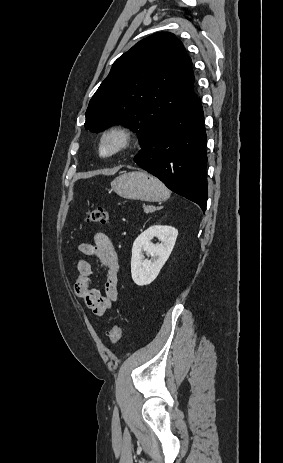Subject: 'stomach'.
<instances>
[{"label":"stomach","instance_id":"stomach-1","mask_svg":"<svg viewBox=\"0 0 283 463\" xmlns=\"http://www.w3.org/2000/svg\"><path fill=\"white\" fill-rule=\"evenodd\" d=\"M111 186L120 197L149 202L163 200L167 190L156 177L140 171L128 172L116 177L111 182Z\"/></svg>","mask_w":283,"mask_h":463}]
</instances>
